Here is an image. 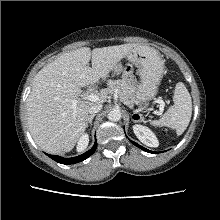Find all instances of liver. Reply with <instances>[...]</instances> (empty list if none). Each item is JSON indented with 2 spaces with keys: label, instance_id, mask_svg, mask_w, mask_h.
<instances>
[{
  "label": "liver",
  "instance_id": "obj_1",
  "mask_svg": "<svg viewBox=\"0 0 220 220\" xmlns=\"http://www.w3.org/2000/svg\"><path fill=\"white\" fill-rule=\"evenodd\" d=\"M137 44L95 48L82 47L65 53L42 68L35 76L27 98L30 133L36 143L49 153L71 151L82 137L89 122L91 106L107 100V89L99 100H79L82 87L105 81L113 68ZM92 67H89V61Z\"/></svg>",
  "mask_w": 220,
  "mask_h": 220
}]
</instances>
